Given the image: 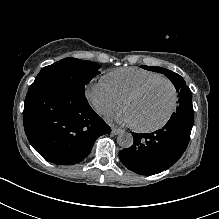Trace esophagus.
<instances>
[{"label": "esophagus", "instance_id": "34e87169", "mask_svg": "<svg viewBox=\"0 0 219 219\" xmlns=\"http://www.w3.org/2000/svg\"><path fill=\"white\" fill-rule=\"evenodd\" d=\"M112 134L114 135H118L121 134L123 132V129L119 128V127H112Z\"/></svg>", "mask_w": 219, "mask_h": 219}]
</instances>
